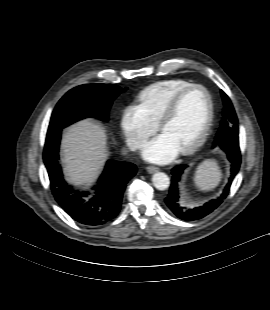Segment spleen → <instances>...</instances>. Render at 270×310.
<instances>
[{"instance_id":"obj_1","label":"spleen","mask_w":270,"mask_h":310,"mask_svg":"<svg viewBox=\"0 0 270 310\" xmlns=\"http://www.w3.org/2000/svg\"><path fill=\"white\" fill-rule=\"evenodd\" d=\"M222 172L215 159H206L196 169L194 184L203 192L213 191L220 183Z\"/></svg>"}]
</instances>
